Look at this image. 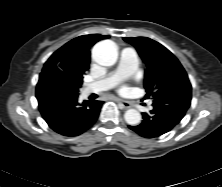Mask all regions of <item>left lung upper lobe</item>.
<instances>
[{
	"label": "left lung upper lobe",
	"instance_id": "left-lung-upper-lobe-1",
	"mask_svg": "<svg viewBox=\"0 0 222 187\" xmlns=\"http://www.w3.org/2000/svg\"><path fill=\"white\" fill-rule=\"evenodd\" d=\"M123 39L136 48L145 64L146 97L151 95L155 99L166 93L191 91L186 71L167 48L147 37Z\"/></svg>",
	"mask_w": 222,
	"mask_h": 187
}]
</instances>
